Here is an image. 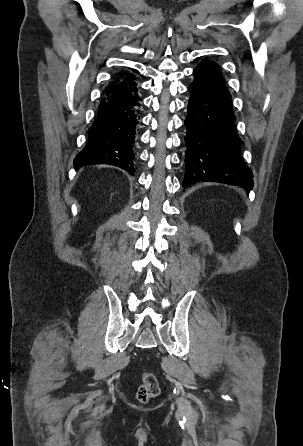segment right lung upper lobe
<instances>
[{
    "label": "right lung upper lobe",
    "instance_id": "1",
    "mask_svg": "<svg viewBox=\"0 0 303 446\" xmlns=\"http://www.w3.org/2000/svg\"><path fill=\"white\" fill-rule=\"evenodd\" d=\"M130 76H131V75H129V76H125V77H130ZM125 77H124V78H125ZM122 78H123V77H122ZM122 78H120V79H122Z\"/></svg>",
    "mask_w": 303,
    "mask_h": 446
}]
</instances>
